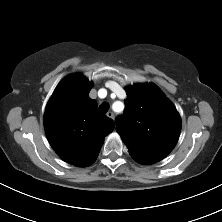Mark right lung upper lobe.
Instances as JSON below:
<instances>
[{
	"label": "right lung upper lobe",
	"mask_w": 222,
	"mask_h": 222,
	"mask_svg": "<svg viewBox=\"0 0 222 222\" xmlns=\"http://www.w3.org/2000/svg\"><path fill=\"white\" fill-rule=\"evenodd\" d=\"M93 84L83 75L71 74L53 92L44 115L48 141L66 162L86 167L94 163L113 131L112 119L97 111V102L89 97Z\"/></svg>",
	"instance_id": "cb5924a9"
}]
</instances>
